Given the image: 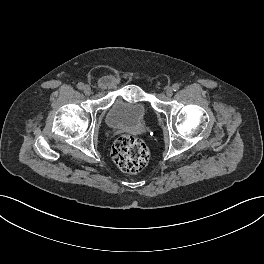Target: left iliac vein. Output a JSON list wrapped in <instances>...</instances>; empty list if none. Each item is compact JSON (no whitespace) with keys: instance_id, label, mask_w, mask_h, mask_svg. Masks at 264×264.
<instances>
[{"instance_id":"left-iliac-vein-1","label":"left iliac vein","mask_w":264,"mask_h":264,"mask_svg":"<svg viewBox=\"0 0 264 264\" xmlns=\"http://www.w3.org/2000/svg\"><path fill=\"white\" fill-rule=\"evenodd\" d=\"M166 95H167L168 97H171V96L173 95V88H171V87L167 88V90H166Z\"/></svg>"}]
</instances>
